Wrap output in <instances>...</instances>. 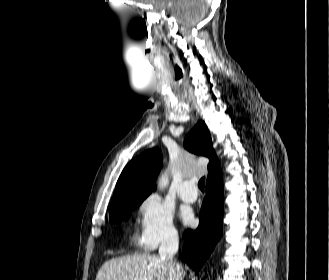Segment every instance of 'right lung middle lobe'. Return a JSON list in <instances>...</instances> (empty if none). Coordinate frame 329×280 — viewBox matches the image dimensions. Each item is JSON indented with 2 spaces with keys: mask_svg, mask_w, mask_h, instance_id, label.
<instances>
[{
  "mask_svg": "<svg viewBox=\"0 0 329 280\" xmlns=\"http://www.w3.org/2000/svg\"><path fill=\"white\" fill-rule=\"evenodd\" d=\"M144 199H135L123 201L109 212V220L112 223H120L124 219H128L130 212L139 206Z\"/></svg>",
  "mask_w": 329,
  "mask_h": 280,
  "instance_id": "right-lung-middle-lobe-1",
  "label": "right lung middle lobe"
}]
</instances>
